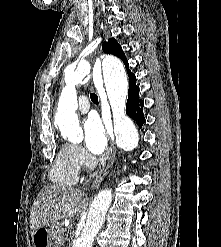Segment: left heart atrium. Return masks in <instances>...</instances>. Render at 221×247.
Segmentation results:
<instances>
[{"label":"left heart atrium","instance_id":"obj_1","mask_svg":"<svg viewBox=\"0 0 221 247\" xmlns=\"http://www.w3.org/2000/svg\"><path fill=\"white\" fill-rule=\"evenodd\" d=\"M84 144L93 154H101L108 142L107 135L100 121L96 117H89L84 122Z\"/></svg>","mask_w":221,"mask_h":247}]
</instances>
